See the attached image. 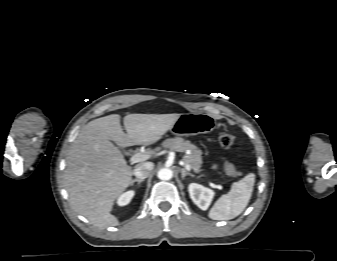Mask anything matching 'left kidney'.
<instances>
[{"mask_svg":"<svg viewBox=\"0 0 337 261\" xmlns=\"http://www.w3.org/2000/svg\"><path fill=\"white\" fill-rule=\"evenodd\" d=\"M188 191L192 201L201 209L207 210L214 197L213 190L206 188L197 183H191L188 186Z\"/></svg>","mask_w":337,"mask_h":261,"instance_id":"1","label":"left kidney"}]
</instances>
